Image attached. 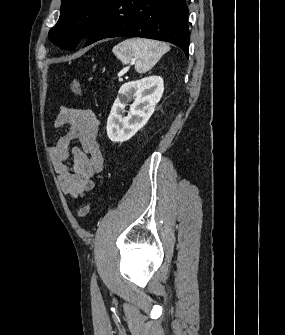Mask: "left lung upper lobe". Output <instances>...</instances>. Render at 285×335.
<instances>
[{
  "instance_id": "obj_1",
  "label": "left lung upper lobe",
  "mask_w": 285,
  "mask_h": 335,
  "mask_svg": "<svg viewBox=\"0 0 285 335\" xmlns=\"http://www.w3.org/2000/svg\"><path fill=\"white\" fill-rule=\"evenodd\" d=\"M110 1L62 0L60 18L49 32L50 40L64 49H75Z\"/></svg>"
}]
</instances>
